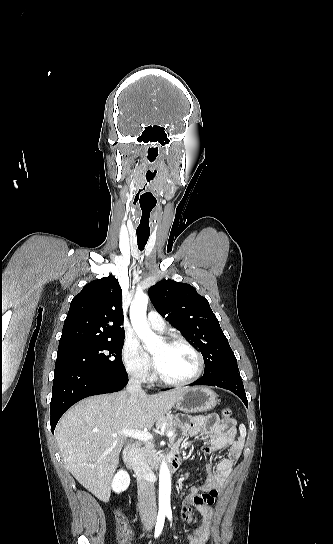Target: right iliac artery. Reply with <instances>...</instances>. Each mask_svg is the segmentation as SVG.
<instances>
[{"label":"right iliac artery","instance_id":"right-iliac-artery-1","mask_svg":"<svg viewBox=\"0 0 333 544\" xmlns=\"http://www.w3.org/2000/svg\"><path fill=\"white\" fill-rule=\"evenodd\" d=\"M165 516H166L165 512H160L158 514L157 522H156V526H155V532H154L155 538H157L162 532L164 522H165Z\"/></svg>","mask_w":333,"mask_h":544}]
</instances>
